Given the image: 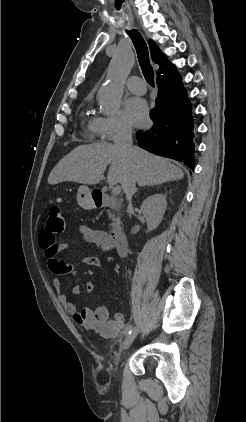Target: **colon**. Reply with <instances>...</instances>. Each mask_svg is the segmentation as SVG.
<instances>
[{"mask_svg": "<svg viewBox=\"0 0 246 422\" xmlns=\"http://www.w3.org/2000/svg\"><path fill=\"white\" fill-rule=\"evenodd\" d=\"M46 227L54 233H60L64 229V218L61 199L59 197L53 198L50 201Z\"/></svg>", "mask_w": 246, "mask_h": 422, "instance_id": "colon-1", "label": "colon"}]
</instances>
